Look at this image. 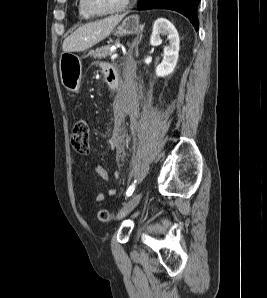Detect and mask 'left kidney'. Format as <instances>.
Masks as SVG:
<instances>
[{
  "mask_svg": "<svg viewBox=\"0 0 267 298\" xmlns=\"http://www.w3.org/2000/svg\"><path fill=\"white\" fill-rule=\"evenodd\" d=\"M168 37L169 44L164 46V55L162 62L156 67V75L158 77H165L174 72L177 65L180 39L175 26L167 19H157L153 25V31L150 38L152 46L162 44L161 36Z\"/></svg>",
  "mask_w": 267,
  "mask_h": 298,
  "instance_id": "1",
  "label": "left kidney"
}]
</instances>
